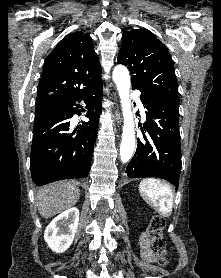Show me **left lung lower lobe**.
I'll return each instance as SVG.
<instances>
[{
    "mask_svg": "<svg viewBox=\"0 0 221 278\" xmlns=\"http://www.w3.org/2000/svg\"><path fill=\"white\" fill-rule=\"evenodd\" d=\"M140 91V99L147 109L145 132L142 130L143 140L138 141L126 168L127 176L163 178L177 188L181 171L178 105L148 91Z\"/></svg>",
    "mask_w": 221,
    "mask_h": 278,
    "instance_id": "0a47b994",
    "label": "left lung lower lobe"
}]
</instances>
